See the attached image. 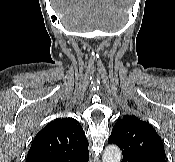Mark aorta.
Instances as JSON below:
<instances>
[{
    "label": "aorta",
    "mask_w": 175,
    "mask_h": 162,
    "mask_svg": "<svg viewBox=\"0 0 175 162\" xmlns=\"http://www.w3.org/2000/svg\"><path fill=\"white\" fill-rule=\"evenodd\" d=\"M122 153L118 146L109 145L105 148L102 162H121Z\"/></svg>",
    "instance_id": "obj_1"
}]
</instances>
